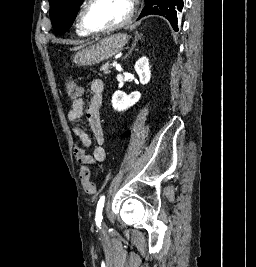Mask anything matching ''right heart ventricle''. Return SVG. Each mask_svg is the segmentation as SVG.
Wrapping results in <instances>:
<instances>
[{"mask_svg":"<svg viewBox=\"0 0 256 267\" xmlns=\"http://www.w3.org/2000/svg\"><path fill=\"white\" fill-rule=\"evenodd\" d=\"M75 33L77 34V36H91L90 34L86 33L81 25H80V20L78 19L76 24H75Z\"/></svg>","mask_w":256,"mask_h":267,"instance_id":"e07e8e85","label":"right heart ventricle"}]
</instances>
